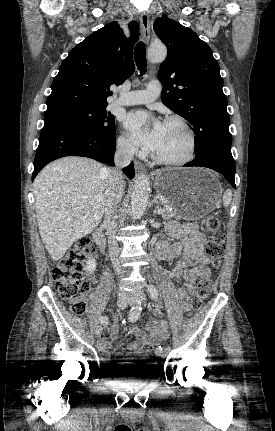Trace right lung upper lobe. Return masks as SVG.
<instances>
[{
    "label": "right lung upper lobe",
    "mask_w": 275,
    "mask_h": 431,
    "mask_svg": "<svg viewBox=\"0 0 275 431\" xmlns=\"http://www.w3.org/2000/svg\"><path fill=\"white\" fill-rule=\"evenodd\" d=\"M126 38L117 22H111L74 47L59 67L47 110L105 105L112 95L111 85H120L135 70L133 47L139 37V25L129 24Z\"/></svg>",
    "instance_id": "obj_1"
}]
</instances>
